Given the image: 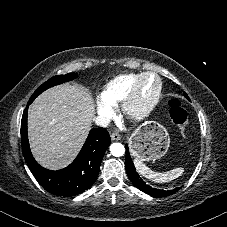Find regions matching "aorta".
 Segmentation results:
<instances>
[{
  "mask_svg": "<svg viewBox=\"0 0 227 227\" xmlns=\"http://www.w3.org/2000/svg\"><path fill=\"white\" fill-rule=\"evenodd\" d=\"M110 152L115 157L123 156L125 153V148L121 143H113L110 146Z\"/></svg>",
  "mask_w": 227,
  "mask_h": 227,
  "instance_id": "obj_1",
  "label": "aorta"
}]
</instances>
